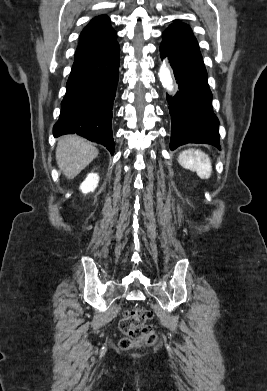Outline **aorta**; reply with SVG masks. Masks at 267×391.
Returning a JSON list of instances; mask_svg holds the SVG:
<instances>
[{"label": "aorta", "mask_w": 267, "mask_h": 391, "mask_svg": "<svg viewBox=\"0 0 267 391\" xmlns=\"http://www.w3.org/2000/svg\"><path fill=\"white\" fill-rule=\"evenodd\" d=\"M159 79L163 85V87L168 91L172 92L174 89V83H173V78L170 72V69L166 65L165 62L162 63L159 72Z\"/></svg>", "instance_id": "1"}]
</instances>
